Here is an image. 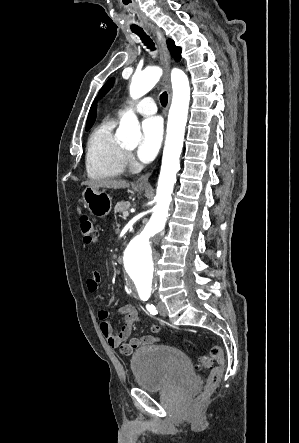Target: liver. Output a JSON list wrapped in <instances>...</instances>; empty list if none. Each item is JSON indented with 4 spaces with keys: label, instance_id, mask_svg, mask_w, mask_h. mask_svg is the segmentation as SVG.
Wrapping results in <instances>:
<instances>
[{
    "label": "liver",
    "instance_id": "liver-1",
    "mask_svg": "<svg viewBox=\"0 0 299 443\" xmlns=\"http://www.w3.org/2000/svg\"><path fill=\"white\" fill-rule=\"evenodd\" d=\"M81 185L92 186L94 188L124 189L128 188L130 183L125 180L95 179L85 181Z\"/></svg>",
    "mask_w": 299,
    "mask_h": 443
}]
</instances>
